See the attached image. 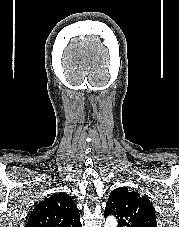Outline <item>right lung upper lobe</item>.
I'll list each match as a JSON object with an SVG mask.
<instances>
[{
  "mask_svg": "<svg viewBox=\"0 0 179 227\" xmlns=\"http://www.w3.org/2000/svg\"><path fill=\"white\" fill-rule=\"evenodd\" d=\"M26 227H81L79 210L68 194L57 193L34 207Z\"/></svg>",
  "mask_w": 179,
  "mask_h": 227,
  "instance_id": "1",
  "label": "right lung upper lobe"
}]
</instances>
